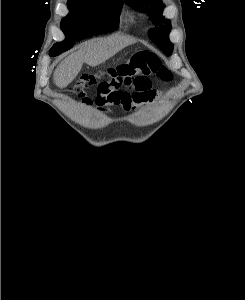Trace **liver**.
<instances>
[{
  "label": "liver",
  "mask_w": 245,
  "mask_h": 300,
  "mask_svg": "<svg viewBox=\"0 0 245 300\" xmlns=\"http://www.w3.org/2000/svg\"><path fill=\"white\" fill-rule=\"evenodd\" d=\"M135 42V39L123 35H113L104 39H95L85 43L78 51L67 56L54 72V82L59 88L67 87L80 72L83 63L97 66L117 52Z\"/></svg>",
  "instance_id": "obj_1"
}]
</instances>
